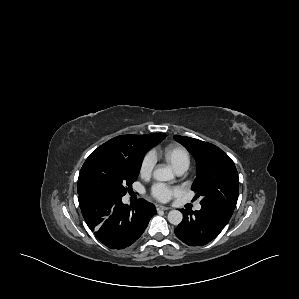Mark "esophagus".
I'll return each mask as SVG.
<instances>
[{"label":"esophagus","instance_id":"1","mask_svg":"<svg viewBox=\"0 0 299 299\" xmlns=\"http://www.w3.org/2000/svg\"><path fill=\"white\" fill-rule=\"evenodd\" d=\"M156 209L157 210H164V211H166V210H169L170 208L166 207V206H162V205H156Z\"/></svg>","mask_w":299,"mask_h":299}]
</instances>
